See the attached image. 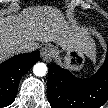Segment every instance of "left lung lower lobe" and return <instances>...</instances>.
<instances>
[{
    "label": "left lung lower lobe",
    "mask_w": 108,
    "mask_h": 108,
    "mask_svg": "<svg viewBox=\"0 0 108 108\" xmlns=\"http://www.w3.org/2000/svg\"><path fill=\"white\" fill-rule=\"evenodd\" d=\"M47 96L51 108H99L108 100V52L96 74L81 79L56 64L49 66Z\"/></svg>",
    "instance_id": "left-lung-lower-lobe-1"
}]
</instances>
